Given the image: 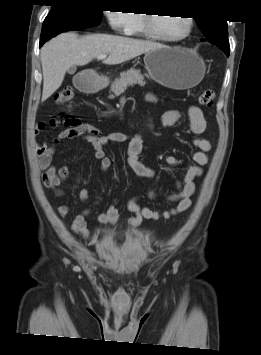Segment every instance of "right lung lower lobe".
Wrapping results in <instances>:
<instances>
[{"label": "right lung lower lobe", "mask_w": 261, "mask_h": 355, "mask_svg": "<svg viewBox=\"0 0 261 355\" xmlns=\"http://www.w3.org/2000/svg\"><path fill=\"white\" fill-rule=\"evenodd\" d=\"M91 27L84 22L72 17H59L54 19H45L40 38V47L57 34L65 31L82 30Z\"/></svg>", "instance_id": "right-lung-lower-lobe-1"}]
</instances>
